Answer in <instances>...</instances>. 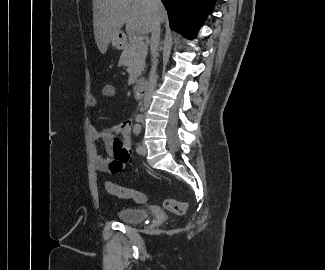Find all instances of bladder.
<instances>
[{
	"label": "bladder",
	"instance_id": "obj_1",
	"mask_svg": "<svg viewBox=\"0 0 325 270\" xmlns=\"http://www.w3.org/2000/svg\"><path fill=\"white\" fill-rule=\"evenodd\" d=\"M119 221L126 224H139L149 217V212L138 207H124L117 212Z\"/></svg>",
	"mask_w": 325,
	"mask_h": 270
}]
</instances>
